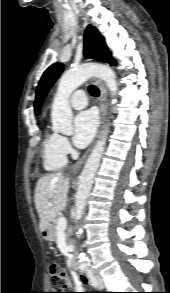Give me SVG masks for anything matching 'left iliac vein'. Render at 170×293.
<instances>
[{"label": "left iliac vein", "instance_id": "obj_1", "mask_svg": "<svg viewBox=\"0 0 170 293\" xmlns=\"http://www.w3.org/2000/svg\"><path fill=\"white\" fill-rule=\"evenodd\" d=\"M96 280L98 288L102 289L104 287L103 278L99 274H96Z\"/></svg>", "mask_w": 170, "mask_h": 293}]
</instances>
